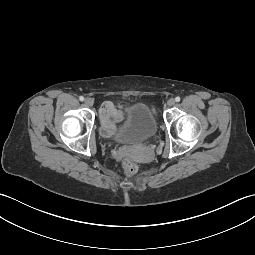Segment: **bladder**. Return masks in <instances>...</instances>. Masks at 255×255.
I'll list each match as a JSON object with an SVG mask.
<instances>
[{
    "label": "bladder",
    "instance_id": "obj_1",
    "mask_svg": "<svg viewBox=\"0 0 255 255\" xmlns=\"http://www.w3.org/2000/svg\"><path fill=\"white\" fill-rule=\"evenodd\" d=\"M125 120L113 133L122 142H139L153 137L158 132V122L151 107L144 102L127 104Z\"/></svg>",
    "mask_w": 255,
    "mask_h": 255
}]
</instances>
